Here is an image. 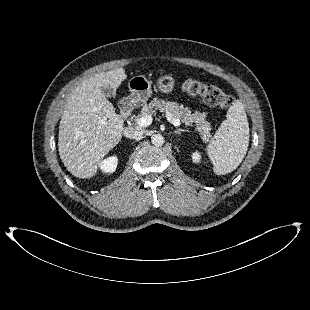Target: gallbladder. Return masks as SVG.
Instances as JSON below:
<instances>
[{
  "mask_svg": "<svg viewBox=\"0 0 310 310\" xmlns=\"http://www.w3.org/2000/svg\"><path fill=\"white\" fill-rule=\"evenodd\" d=\"M101 90L106 97H110L114 94V91L110 87H102Z\"/></svg>",
  "mask_w": 310,
  "mask_h": 310,
  "instance_id": "bac80fb5",
  "label": "gallbladder"
}]
</instances>
